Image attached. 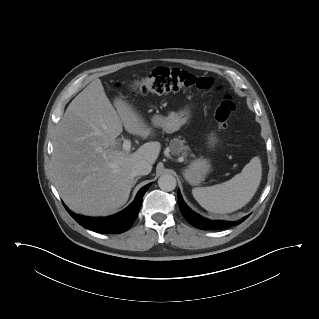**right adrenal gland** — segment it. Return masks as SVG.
<instances>
[{
  "label": "right adrenal gland",
  "mask_w": 319,
  "mask_h": 319,
  "mask_svg": "<svg viewBox=\"0 0 319 319\" xmlns=\"http://www.w3.org/2000/svg\"><path fill=\"white\" fill-rule=\"evenodd\" d=\"M139 179H140V177H137V178L134 179V182H133V184H132V187H134V185L136 184V182H137Z\"/></svg>",
  "instance_id": "2a0ac1e0"
}]
</instances>
